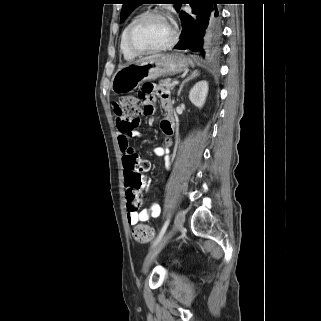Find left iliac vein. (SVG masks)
Here are the masks:
<instances>
[{"label":"left iliac vein","mask_w":321,"mask_h":321,"mask_svg":"<svg viewBox=\"0 0 321 321\" xmlns=\"http://www.w3.org/2000/svg\"><path fill=\"white\" fill-rule=\"evenodd\" d=\"M184 221H185V215L183 211L181 210L177 211L173 230L169 232L165 237H163L147 254L143 265L144 270H146L151 265V263L159 254V252L163 249V247L167 244V242L173 237V235L182 228Z\"/></svg>","instance_id":"obj_1"}]
</instances>
